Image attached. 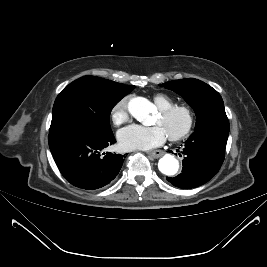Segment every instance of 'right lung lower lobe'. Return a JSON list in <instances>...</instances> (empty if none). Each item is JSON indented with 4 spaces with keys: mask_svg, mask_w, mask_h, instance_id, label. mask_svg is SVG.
<instances>
[{
    "mask_svg": "<svg viewBox=\"0 0 267 267\" xmlns=\"http://www.w3.org/2000/svg\"><path fill=\"white\" fill-rule=\"evenodd\" d=\"M48 140L61 174L72 185L86 190L109 184L119 173L125 157L101 154L116 142L113 133L71 127L49 133Z\"/></svg>",
    "mask_w": 267,
    "mask_h": 267,
    "instance_id": "obj_1",
    "label": "right lung lower lobe"
}]
</instances>
